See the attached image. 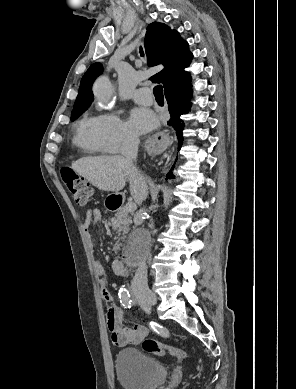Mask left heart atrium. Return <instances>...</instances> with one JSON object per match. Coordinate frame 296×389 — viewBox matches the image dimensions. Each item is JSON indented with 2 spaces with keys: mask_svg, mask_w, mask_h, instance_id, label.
<instances>
[{
  "mask_svg": "<svg viewBox=\"0 0 296 389\" xmlns=\"http://www.w3.org/2000/svg\"><path fill=\"white\" fill-rule=\"evenodd\" d=\"M130 124L138 133L150 131L155 125L154 114L146 108L136 107L130 111Z\"/></svg>",
  "mask_w": 296,
  "mask_h": 389,
  "instance_id": "39dd6f15",
  "label": "left heart atrium"
}]
</instances>
